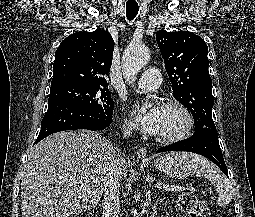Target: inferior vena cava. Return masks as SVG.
Segmentation results:
<instances>
[{
	"label": "inferior vena cava",
	"mask_w": 255,
	"mask_h": 217,
	"mask_svg": "<svg viewBox=\"0 0 255 217\" xmlns=\"http://www.w3.org/2000/svg\"><path fill=\"white\" fill-rule=\"evenodd\" d=\"M130 130L124 131L123 137L130 136ZM111 157L104 182L103 217H118L120 210L119 200V172L114 146L110 148Z\"/></svg>",
	"instance_id": "1"
}]
</instances>
